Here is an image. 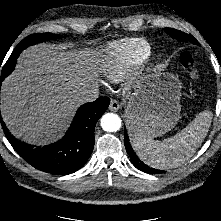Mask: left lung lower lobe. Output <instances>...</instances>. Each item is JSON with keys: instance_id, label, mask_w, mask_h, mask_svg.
I'll return each mask as SVG.
<instances>
[{"instance_id": "left-lung-lower-lobe-1", "label": "left lung lower lobe", "mask_w": 221, "mask_h": 221, "mask_svg": "<svg viewBox=\"0 0 221 221\" xmlns=\"http://www.w3.org/2000/svg\"><path fill=\"white\" fill-rule=\"evenodd\" d=\"M124 144H125V148H126V151L128 153V155L130 156V159L133 163V165L145 172V173H149V174H157V173H161V171H158L156 169H153V168H150L148 167L147 165H145L134 153L131 145H130V142H129V139H128V135H127V131H125V137H124Z\"/></svg>"}]
</instances>
